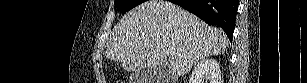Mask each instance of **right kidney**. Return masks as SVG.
<instances>
[{"label":"right kidney","instance_id":"obj_1","mask_svg":"<svg viewBox=\"0 0 307 83\" xmlns=\"http://www.w3.org/2000/svg\"><path fill=\"white\" fill-rule=\"evenodd\" d=\"M221 83L218 62L213 58L201 60L192 71L189 83Z\"/></svg>","mask_w":307,"mask_h":83}]
</instances>
